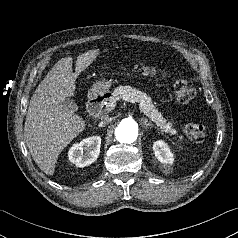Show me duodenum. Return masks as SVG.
<instances>
[{"instance_id":"1","label":"duodenum","mask_w":238,"mask_h":238,"mask_svg":"<svg viewBox=\"0 0 238 238\" xmlns=\"http://www.w3.org/2000/svg\"><path fill=\"white\" fill-rule=\"evenodd\" d=\"M104 95L102 94H93L87 104L88 112L92 116H98L104 101Z\"/></svg>"}]
</instances>
